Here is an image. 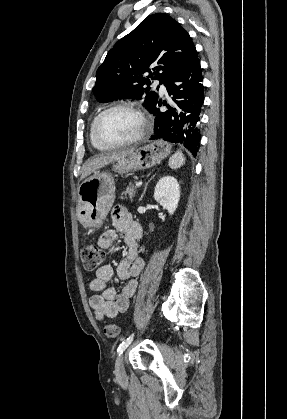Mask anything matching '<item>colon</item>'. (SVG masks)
I'll use <instances>...</instances> for the list:
<instances>
[{
  "label": "colon",
  "instance_id": "obj_1",
  "mask_svg": "<svg viewBox=\"0 0 287 419\" xmlns=\"http://www.w3.org/2000/svg\"><path fill=\"white\" fill-rule=\"evenodd\" d=\"M81 257L84 268L87 271H95L102 266L105 253L97 245L89 244L82 248ZM104 334L109 339H116L119 337L120 329L117 324L110 323L104 327Z\"/></svg>",
  "mask_w": 287,
  "mask_h": 419
}]
</instances>
